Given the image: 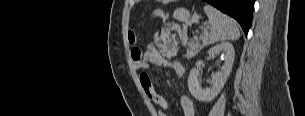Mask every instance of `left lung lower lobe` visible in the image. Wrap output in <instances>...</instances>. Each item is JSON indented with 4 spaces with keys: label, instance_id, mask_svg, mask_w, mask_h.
<instances>
[{
    "label": "left lung lower lobe",
    "instance_id": "1",
    "mask_svg": "<svg viewBox=\"0 0 305 116\" xmlns=\"http://www.w3.org/2000/svg\"><path fill=\"white\" fill-rule=\"evenodd\" d=\"M222 12L235 18L242 26L245 35L252 22V13L255 0H204Z\"/></svg>",
    "mask_w": 305,
    "mask_h": 116
}]
</instances>
